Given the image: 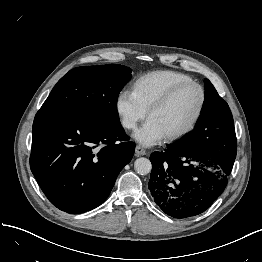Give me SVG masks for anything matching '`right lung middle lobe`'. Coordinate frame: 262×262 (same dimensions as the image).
I'll return each instance as SVG.
<instances>
[{
    "instance_id": "1",
    "label": "right lung middle lobe",
    "mask_w": 262,
    "mask_h": 262,
    "mask_svg": "<svg viewBox=\"0 0 262 262\" xmlns=\"http://www.w3.org/2000/svg\"><path fill=\"white\" fill-rule=\"evenodd\" d=\"M131 79V69L118 64L83 66L62 77L41 108L82 114L100 124H119L117 98Z\"/></svg>"
}]
</instances>
